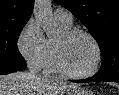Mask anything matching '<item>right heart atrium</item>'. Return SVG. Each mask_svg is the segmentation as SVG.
<instances>
[{"mask_svg": "<svg viewBox=\"0 0 119 95\" xmlns=\"http://www.w3.org/2000/svg\"><path fill=\"white\" fill-rule=\"evenodd\" d=\"M17 47L30 69L38 71L45 66L49 55V40L35 19H30L22 28Z\"/></svg>", "mask_w": 119, "mask_h": 95, "instance_id": "d8ad5b80", "label": "right heart atrium"}]
</instances>
